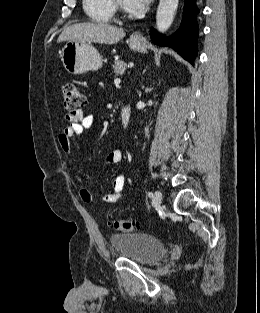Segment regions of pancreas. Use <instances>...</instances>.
Instances as JSON below:
<instances>
[{
	"mask_svg": "<svg viewBox=\"0 0 260 313\" xmlns=\"http://www.w3.org/2000/svg\"><path fill=\"white\" fill-rule=\"evenodd\" d=\"M127 64L124 63L123 61H116L113 65V72L116 75H122L124 71L126 70Z\"/></svg>",
	"mask_w": 260,
	"mask_h": 313,
	"instance_id": "1",
	"label": "pancreas"
}]
</instances>
